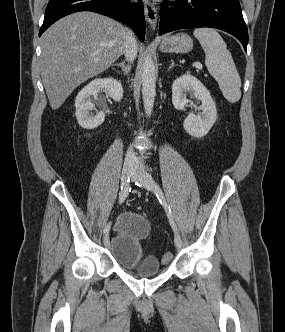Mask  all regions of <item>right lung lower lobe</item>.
<instances>
[{"label":"right lung lower lobe","instance_id":"1","mask_svg":"<svg viewBox=\"0 0 285 332\" xmlns=\"http://www.w3.org/2000/svg\"><path fill=\"white\" fill-rule=\"evenodd\" d=\"M78 11H92L130 26L141 41L145 38V20L141 2L135 0H50L39 36L60 18Z\"/></svg>","mask_w":285,"mask_h":332}]
</instances>
